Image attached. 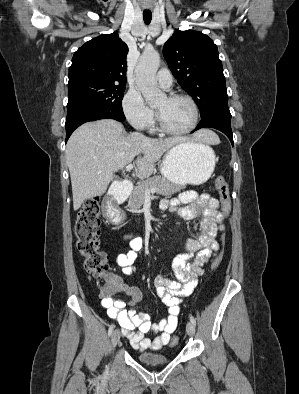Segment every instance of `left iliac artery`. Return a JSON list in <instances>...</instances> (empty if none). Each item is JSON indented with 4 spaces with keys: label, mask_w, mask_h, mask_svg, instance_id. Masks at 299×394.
Returning <instances> with one entry per match:
<instances>
[{
    "label": "left iliac artery",
    "mask_w": 299,
    "mask_h": 394,
    "mask_svg": "<svg viewBox=\"0 0 299 394\" xmlns=\"http://www.w3.org/2000/svg\"><path fill=\"white\" fill-rule=\"evenodd\" d=\"M190 321H191L194 325H196V320H195V318H194L193 316H190Z\"/></svg>",
    "instance_id": "44dca946"
}]
</instances>
